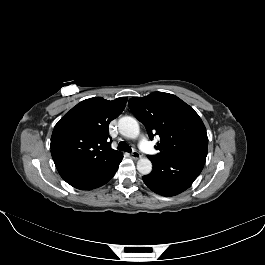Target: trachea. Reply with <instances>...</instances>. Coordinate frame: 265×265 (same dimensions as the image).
I'll list each match as a JSON object with an SVG mask.
<instances>
[{
	"label": "trachea",
	"mask_w": 265,
	"mask_h": 265,
	"mask_svg": "<svg viewBox=\"0 0 265 265\" xmlns=\"http://www.w3.org/2000/svg\"><path fill=\"white\" fill-rule=\"evenodd\" d=\"M118 150L125 151V152H131L132 151L131 147L125 141H121L118 144Z\"/></svg>",
	"instance_id": "trachea-1"
}]
</instances>
